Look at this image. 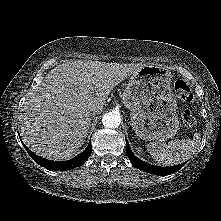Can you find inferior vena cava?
<instances>
[{"mask_svg":"<svg viewBox=\"0 0 221 221\" xmlns=\"http://www.w3.org/2000/svg\"><path fill=\"white\" fill-rule=\"evenodd\" d=\"M99 113H100L99 109L94 108L90 110L89 115L90 117H92V116L98 115Z\"/></svg>","mask_w":221,"mask_h":221,"instance_id":"602c4592","label":"inferior vena cava"}]
</instances>
